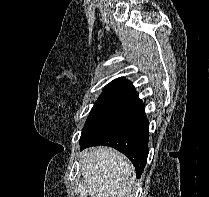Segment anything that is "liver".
<instances>
[{
  "label": "liver",
  "instance_id": "liver-1",
  "mask_svg": "<svg viewBox=\"0 0 209 197\" xmlns=\"http://www.w3.org/2000/svg\"><path fill=\"white\" fill-rule=\"evenodd\" d=\"M81 173L90 197H131L135 184L132 163L109 147H93L82 153Z\"/></svg>",
  "mask_w": 209,
  "mask_h": 197
}]
</instances>
